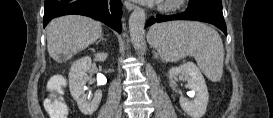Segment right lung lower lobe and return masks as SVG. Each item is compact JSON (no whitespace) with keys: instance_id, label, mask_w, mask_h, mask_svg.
Here are the masks:
<instances>
[{"instance_id":"obj_1","label":"right lung lower lobe","mask_w":273,"mask_h":118,"mask_svg":"<svg viewBox=\"0 0 273 118\" xmlns=\"http://www.w3.org/2000/svg\"><path fill=\"white\" fill-rule=\"evenodd\" d=\"M69 14L92 17L121 33V1L45 0L43 26L45 27L53 18Z\"/></svg>"}]
</instances>
